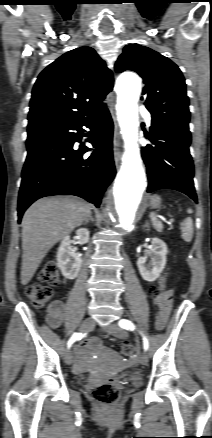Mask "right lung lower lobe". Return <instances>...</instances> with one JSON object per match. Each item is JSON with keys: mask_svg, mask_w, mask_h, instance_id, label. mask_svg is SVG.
Segmentation results:
<instances>
[{"mask_svg": "<svg viewBox=\"0 0 212 438\" xmlns=\"http://www.w3.org/2000/svg\"><path fill=\"white\" fill-rule=\"evenodd\" d=\"M82 126L93 129L89 142L96 149L89 157H83L89 148H73L85 131ZM112 136L113 122L106 107L84 120H58L29 127L18 222L35 200L45 196L76 195L99 207L116 174Z\"/></svg>", "mask_w": 212, "mask_h": 438, "instance_id": "obj_1", "label": "right lung lower lobe"}]
</instances>
